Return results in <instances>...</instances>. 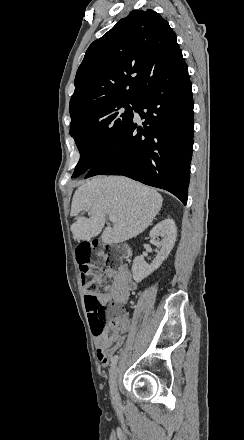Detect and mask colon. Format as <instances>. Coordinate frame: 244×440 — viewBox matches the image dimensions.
Here are the masks:
<instances>
[{
	"instance_id": "5ec220e1",
	"label": "colon",
	"mask_w": 244,
	"mask_h": 440,
	"mask_svg": "<svg viewBox=\"0 0 244 440\" xmlns=\"http://www.w3.org/2000/svg\"><path fill=\"white\" fill-rule=\"evenodd\" d=\"M95 244V245H94ZM122 248H102L100 242L90 241L79 248H75L74 259L77 262V271L82 275L88 271L100 273L111 272L113 267H120L123 256ZM106 257H109L106 259ZM104 280L96 274L88 275L84 281L88 295H86V304L83 305V312L87 313L88 319H106L109 314V321L114 324L117 331H122L126 326V312L123 305L97 304L98 286L102 285Z\"/></svg>"
}]
</instances>
